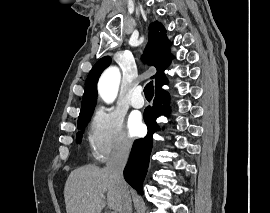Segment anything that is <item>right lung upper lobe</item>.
I'll list each match as a JSON object with an SVG mask.
<instances>
[{"instance_id": "obj_1", "label": "right lung upper lobe", "mask_w": 270, "mask_h": 213, "mask_svg": "<svg viewBox=\"0 0 270 213\" xmlns=\"http://www.w3.org/2000/svg\"><path fill=\"white\" fill-rule=\"evenodd\" d=\"M170 43L166 37L165 28L160 23H152L149 27V43L143 54V61L157 69L154 75L155 87L166 81L164 69L169 65L171 55ZM111 63V58L105 56L98 60L90 71L81 104L80 116L92 113L97 100V81L102 71Z\"/></svg>"}]
</instances>
